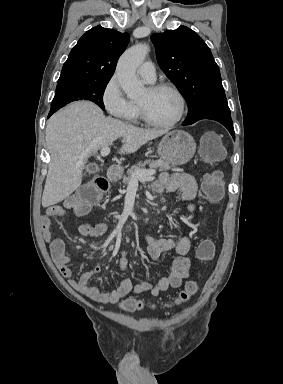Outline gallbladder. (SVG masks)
I'll return each instance as SVG.
<instances>
[{"label": "gallbladder", "instance_id": "obj_1", "mask_svg": "<svg viewBox=\"0 0 283 384\" xmlns=\"http://www.w3.org/2000/svg\"><path fill=\"white\" fill-rule=\"evenodd\" d=\"M89 172H98V165H89Z\"/></svg>", "mask_w": 283, "mask_h": 384}]
</instances>
